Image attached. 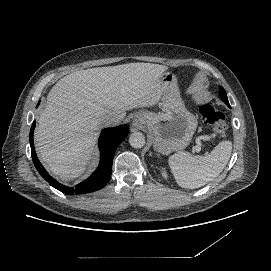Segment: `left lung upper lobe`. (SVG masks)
Segmentation results:
<instances>
[{
	"label": "left lung upper lobe",
	"instance_id": "obj_1",
	"mask_svg": "<svg viewBox=\"0 0 271 271\" xmlns=\"http://www.w3.org/2000/svg\"><path fill=\"white\" fill-rule=\"evenodd\" d=\"M219 89H220V96L222 97L223 101L225 102L227 106L230 107L225 90L222 87H219Z\"/></svg>",
	"mask_w": 271,
	"mask_h": 271
}]
</instances>
